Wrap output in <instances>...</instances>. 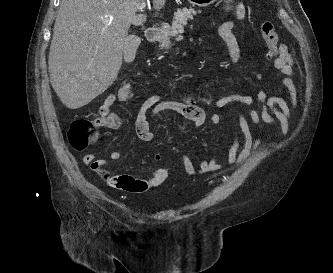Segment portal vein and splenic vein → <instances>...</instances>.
<instances>
[{"instance_id":"portal-vein-and-splenic-vein-1","label":"portal vein and splenic vein","mask_w":333,"mask_h":273,"mask_svg":"<svg viewBox=\"0 0 333 273\" xmlns=\"http://www.w3.org/2000/svg\"><path fill=\"white\" fill-rule=\"evenodd\" d=\"M146 6V3L145 2H142L140 3L138 6H137V9L140 10V11H143V9L145 8Z\"/></svg>"}]
</instances>
